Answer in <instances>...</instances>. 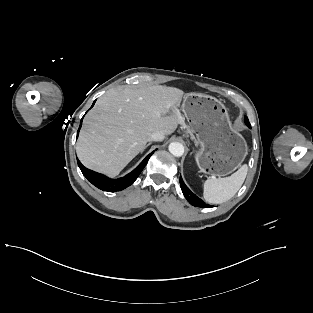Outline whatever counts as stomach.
<instances>
[{
    "label": "stomach",
    "instance_id": "stomach-1",
    "mask_svg": "<svg viewBox=\"0 0 313 313\" xmlns=\"http://www.w3.org/2000/svg\"><path fill=\"white\" fill-rule=\"evenodd\" d=\"M182 111L188 132L198 146L195 160L200 171L226 176L236 170L247 156L248 147L233 128L224 104L212 96L189 93L184 97Z\"/></svg>",
    "mask_w": 313,
    "mask_h": 313
}]
</instances>
